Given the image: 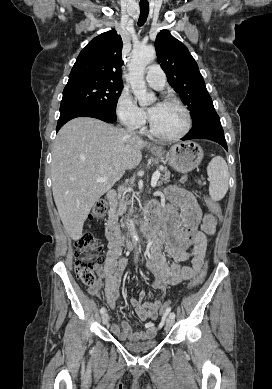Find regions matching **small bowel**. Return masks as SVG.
<instances>
[{"mask_svg": "<svg viewBox=\"0 0 272 389\" xmlns=\"http://www.w3.org/2000/svg\"><path fill=\"white\" fill-rule=\"evenodd\" d=\"M166 195L170 206L163 211L164 228L153 244L147 264L148 272L155 278L153 286L161 292V297L145 302L142 291L139 298L130 299L129 303L144 322L145 329L133 331L127 321L120 320L111 326V332L120 340L140 341L154 337L157 326L153 321L158 317L168 286L187 281L201 270L207 250V235L216 230V217L210 212L204 213L192 193L170 186ZM152 210L159 213L160 206L156 204ZM162 248L175 262L166 260ZM189 260L192 266L183 264ZM126 266L127 260L122 256L120 246L109 243L105 264L97 269L99 280L89 288V293L96 295L104 286L106 300L115 308Z\"/></svg>", "mask_w": 272, "mask_h": 389, "instance_id": "obj_1", "label": "small bowel"}]
</instances>
